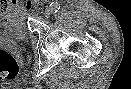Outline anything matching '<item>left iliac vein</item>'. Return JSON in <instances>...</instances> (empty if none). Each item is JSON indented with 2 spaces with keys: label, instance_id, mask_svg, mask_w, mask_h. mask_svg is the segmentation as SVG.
Masks as SVG:
<instances>
[{
  "label": "left iliac vein",
  "instance_id": "left-iliac-vein-1",
  "mask_svg": "<svg viewBox=\"0 0 131 89\" xmlns=\"http://www.w3.org/2000/svg\"><path fill=\"white\" fill-rule=\"evenodd\" d=\"M51 14H52V8L47 7L44 12L45 17H50Z\"/></svg>",
  "mask_w": 131,
  "mask_h": 89
}]
</instances>
